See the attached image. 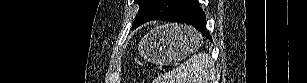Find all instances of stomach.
I'll list each match as a JSON object with an SVG mask.
<instances>
[{"instance_id": "stomach-1", "label": "stomach", "mask_w": 307, "mask_h": 83, "mask_svg": "<svg viewBox=\"0 0 307 83\" xmlns=\"http://www.w3.org/2000/svg\"><path fill=\"white\" fill-rule=\"evenodd\" d=\"M201 44L202 36L193 28L167 24L146 34L139 44V52L146 60L165 65L193 54Z\"/></svg>"}]
</instances>
